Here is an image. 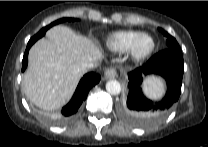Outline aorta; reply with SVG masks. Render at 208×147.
I'll list each match as a JSON object with an SVG mask.
<instances>
[{"label": "aorta", "instance_id": "762f6f07", "mask_svg": "<svg viewBox=\"0 0 208 147\" xmlns=\"http://www.w3.org/2000/svg\"><path fill=\"white\" fill-rule=\"evenodd\" d=\"M106 90L111 95H118L121 92V84L117 80H110L106 83Z\"/></svg>", "mask_w": 208, "mask_h": 147}]
</instances>
